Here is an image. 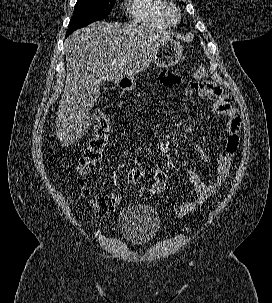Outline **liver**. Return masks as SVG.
<instances>
[{
    "instance_id": "6515ba94",
    "label": "liver",
    "mask_w": 272,
    "mask_h": 303,
    "mask_svg": "<svg viewBox=\"0 0 272 303\" xmlns=\"http://www.w3.org/2000/svg\"><path fill=\"white\" fill-rule=\"evenodd\" d=\"M168 39L170 33L134 23L96 22L73 32L64 43L67 76L55 127L60 142L69 146L88 132L102 82L144 71Z\"/></svg>"
}]
</instances>
